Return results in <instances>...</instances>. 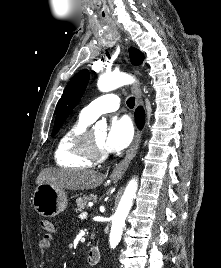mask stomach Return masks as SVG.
Masks as SVG:
<instances>
[{
    "mask_svg": "<svg viewBox=\"0 0 221 268\" xmlns=\"http://www.w3.org/2000/svg\"><path fill=\"white\" fill-rule=\"evenodd\" d=\"M34 209L43 217H55L68 205L67 195L63 188L43 183L36 187L32 195Z\"/></svg>",
    "mask_w": 221,
    "mask_h": 268,
    "instance_id": "1",
    "label": "stomach"
}]
</instances>
